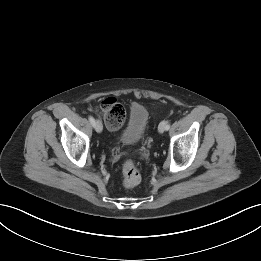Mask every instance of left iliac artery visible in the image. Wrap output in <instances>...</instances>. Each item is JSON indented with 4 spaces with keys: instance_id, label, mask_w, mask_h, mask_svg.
Instances as JSON below:
<instances>
[{
    "instance_id": "1",
    "label": "left iliac artery",
    "mask_w": 261,
    "mask_h": 261,
    "mask_svg": "<svg viewBox=\"0 0 261 261\" xmlns=\"http://www.w3.org/2000/svg\"><path fill=\"white\" fill-rule=\"evenodd\" d=\"M169 128H170V123H169V122H167V125H166V130H169Z\"/></svg>"
}]
</instances>
